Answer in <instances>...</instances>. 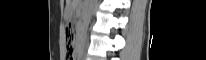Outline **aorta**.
Returning a JSON list of instances; mask_svg holds the SVG:
<instances>
[{
  "label": "aorta",
  "mask_w": 206,
  "mask_h": 60,
  "mask_svg": "<svg viewBox=\"0 0 206 60\" xmlns=\"http://www.w3.org/2000/svg\"><path fill=\"white\" fill-rule=\"evenodd\" d=\"M96 0H87L86 6L84 10V17H83V23H82V37H86V32L91 20V15L94 11Z\"/></svg>",
  "instance_id": "obj_1"
}]
</instances>
